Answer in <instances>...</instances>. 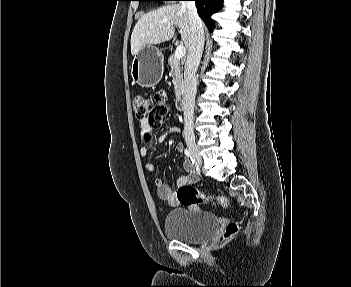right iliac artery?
<instances>
[{"label": "right iliac artery", "instance_id": "obj_1", "mask_svg": "<svg viewBox=\"0 0 351 287\" xmlns=\"http://www.w3.org/2000/svg\"><path fill=\"white\" fill-rule=\"evenodd\" d=\"M185 155L192 161V163H195V157L192 154V152L190 150H188L187 148L184 150Z\"/></svg>", "mask_w": 351, "mask_h": 287}]
</instances>
